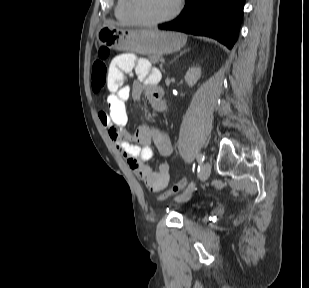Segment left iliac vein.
Here are the masks:
<instances>
[{
    "instance_id": "1",
    "label": "left iliac vein",
    "mask_w": 309,
    "mask_h": 288,
    "mask_svg": "<svg viewBox=\"0 0 309 288\" xmlns=\"http://www.w3.org/2000/svg\"><path fill=\"white\" fill-rule=\"evenodd\" d=\"M210 172H211V165L209 162H205L202 167H201V170H200V173H199V176H200V179L201 181H206L209 176H210ZM192 194V191L188 190V191H185L183 195L180 196V198L177 200L179 202H183V201H186Z\"/></svg>"
}]
</instances>
